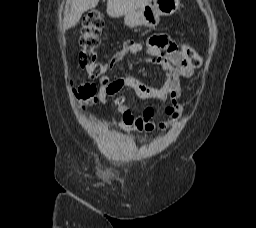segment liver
Masks as SVG:
<instances>
[{"mask_svg": "<svg viewBox=\"0 0 256 228\" xmlns=\"http://www.w3.org/2000/svg\"><path fill=\"white\" fill-rule=\"evenodd\" d=\"M152 0H108L107 14L112 18H119L127 13L139 9L150 3ZM99 0H67L70 9L64 16V25L66 28L75 26L82 14L89 9L95 8Z\"/></svg>", "mask_w": 256, "mask_h": 228, "instance_id": "obj_1", "label": "liver"}]
</instances>
